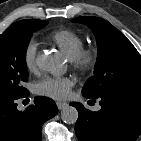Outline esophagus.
Segmentation results:
<instances>
[{
    "label": "esophagus",
    "instance_id": "obj_1",
    "mask_svg": "<svg viewBox=\"0 0 141 141\" xmlns=\"http://www.w3.org/2000/svg\"><path fill=\"white\" fill-rule=\"evenodd\" d=\"M56 104H57V107L59 110H62L64 108L68 107V103H66V102H57Z\"/></svg>",
    "mask_w": 141,
    "mask_h": 141
}]
</instances>
